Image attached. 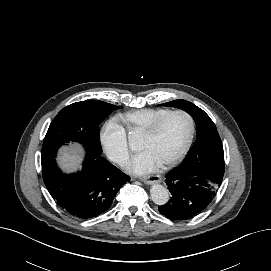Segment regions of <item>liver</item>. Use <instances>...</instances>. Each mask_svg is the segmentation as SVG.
Here are the masks:
<instances>
[{
    "label": "liver",
    "instance_id": "1",
    "mask_svg": "<svg viewBox=\"0 0 271 271\" xmlns=\"http://www.w3.org/2000/svg\"><path fill=\"white\" fill-rule=\"evenodd\" d=\"M79 147L65 148L60 152L59 162L63 169L75 170L81 162V155Z\"/></svg>",
    "mask_w": 271,
    "mask_h": 271
}]
</instances>
